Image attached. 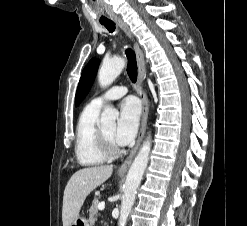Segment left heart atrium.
I'll return each instance as SVG.
<instances>
[{"label":"left heart atrium","mask_w":247,"mask_h":226,"mask_svg":"<svg viewBox=\"0 0 247 226\" xmlns=\"http://www.w3.org/2000/svg\"><path fill=\"white\" fill-rule=\"evenodd\" d=\"M140 113V104L136 98L128 97L122 101L113 133L117 145H127L134 139L139 126Z\"/></svg>","instance_id":"obj_1"}]
</instances>
